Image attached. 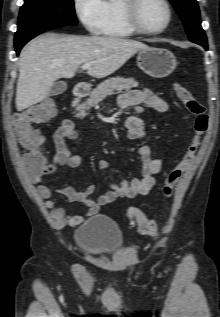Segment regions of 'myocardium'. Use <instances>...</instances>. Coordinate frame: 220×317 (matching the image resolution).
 I'll use <instances>...</instances> for the list:
<instances>
[{
	"instance_id": "1",
	"label": "myocardium",
	"mask_w": 220,
	"mask_h": 317,
	"mask_svg": "<svg viewBox=\"0 0 220 317\" xmlns=\"http://www.w3.org/2000/svg\"><path fill=\"white\" fill-rule=\"evenodd\" d=\"M144 0H123L122 10L125 20L130 28L136 33L142 35H158L163 33L171 24L173 18V9L169 0H161L167 10V19L165 24L159 29H147L140 21V8Z\"/></svg>"
}]
</instances>
